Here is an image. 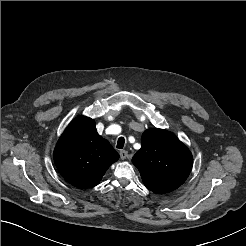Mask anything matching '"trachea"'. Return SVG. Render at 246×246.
Returning a JSON list of instances; mask_svg holds the SVG:
<instances>
[{
  "label": "trachea",
  "mask_w": 246,
  "mask_h": 246,
  "mask_svg": "<svg viewBox=\"0 0 246 246\" xmlns=\"http://www.w3.org/2000/svg\"><path fill=\"white\" fill-rule=\"evenodd\" d=\"M125 144V139L123 137H120L117 141V148L122 149Z\"/></svg>",
  "instance_id": "trachea-1"
}]
</instances>
